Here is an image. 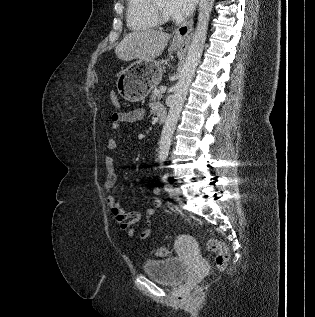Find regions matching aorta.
Listing matches in <instances>:
<instances>
[{
    "mask_svg": "<svg viewBox=\"0 0 315 317\" xmlns=\"http://www.w3.org/2000/svg\"><path fill=\"white\" fill-rule=\"evenodd\" d=\"M213 4L214 0H200L197 26L183 68L180 72L179 80L175 86L173 101L160 137L158 152L160 161H164L168 157L171 140L180 117V112L185 102L196 67L201 59Z\"/></svg>",
    "mask_w": 315,
    "mask_h": 317,
    "instance_id": "aorta-1",
    "label": "aorta"
}]
</instances>
